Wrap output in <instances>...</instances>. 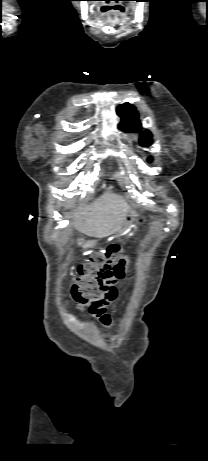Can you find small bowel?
Wrapping results in <instances>:
<instances>
[{
    "label": "small bowel",
    "instance_id": "1",
    "mask_svg": "<svg viewBox=\"0 0 208 461\" xmlns=\"http://www.w3.org/2000/svg\"><path fill=\"white\" fill-rule=\"evenodd\" d=\"M117 287L116 281L108 283L101 297L95 301L90 307L89 312L94 316L104 327H111L113 324L112 316L107 312V306L116 299Z\"/></svg>",
    "mask_w": 208,
    "mask_h": 461
}]
</instances>
